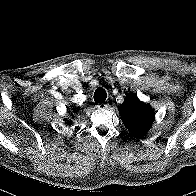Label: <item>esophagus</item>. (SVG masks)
Wrapping results in <instances>:
<instances>
[{
    "instance_id": "34e87169",
    "label": "esophagus",
    "mask_w": 196,
    "mask_h": 196,
    "mask_svg": "<svg viewBox=\"0 0 196 196\" xmlns=\"http://www.w3.org/2000/svg\"><path fill=\"white\" fill-rule=\"evenodd\" d=\"M96 107L97 108H106V107H108V105L107 104H105V103H98L97 105H96Z\"/></svg>"
}]
</instances>
